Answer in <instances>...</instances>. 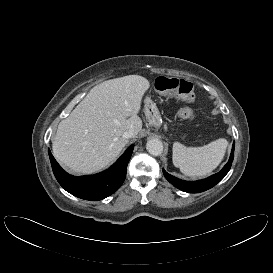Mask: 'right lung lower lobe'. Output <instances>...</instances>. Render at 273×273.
Instances as JSON below:
<instances>
[{
    "label": "right lung lower lobe",
    "mask_w": 273,
    "mask_h": 273,
    "mask_svg": "<svg viewBox=\"0 0 273 273\" xmlns=\"http://www.w3.org/2000/svg\"><path fill=\"white\" fill-rule=\"evenodd\" d=\"M134 145H131L125 153L108 170L91 175L75 177L66 173L56 162L50 150H48L53 173L59 184L72 195L97 201L113 194L125 180L126 169L131 158Z\"/></svg>",
    "instance_id": "obj_1"
}]
</instances>
